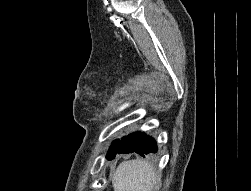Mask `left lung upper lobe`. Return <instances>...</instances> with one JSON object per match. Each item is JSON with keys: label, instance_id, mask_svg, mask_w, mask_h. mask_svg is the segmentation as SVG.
Listing matches in <instances>:
<instances>
[{"label": "left lung upper lobe", "instance_id": "left-lung-upper-lobe-1", "mask_svg": "<svg viewBox=\"0 0 251 191\" xmlns=\"http://www.w3.org/2000/svg\"><path fill=\"white\" fill-rule=\"evenodd\" d=\"M116 142H117V140H115V141L112 143V145H111V147H110V149H109V151H108L106 157H109L110 154L113 152V149H114V146H115Z\"/></svg>", "mask_w": 251, "mask_h": 191}]
</instances>
